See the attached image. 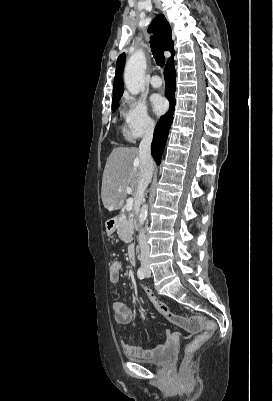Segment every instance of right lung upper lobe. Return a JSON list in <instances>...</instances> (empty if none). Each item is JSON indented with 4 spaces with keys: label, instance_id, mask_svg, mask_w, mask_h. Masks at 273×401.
Masks as SVG:
<instances>
[{
    "label": "right lung upper lobe",
    "instance_id": "right-lung-upper-lobe-1",
    "mask_svg": "<svg viewBox=\"0 0 273 401\" xmlns=\"http://www.w3.org/2000/svg\"><path fill=\"white\" fill-rule=\"evenodd\" d=\"M149 31H153L158 36L165 51H170L172 53V57L169 58V61L167 63L172 61L174 55V43L171 38V27L165 19L164 15L160 14L159 16H157V18L151 24ZM125 59V53H122L118 57L116 63L112 107L116 106V104L119 102L120 97L123 94L124 87L122 81V72L125 64Z\"/></svg>",
    "mask_w": 273,
    "mask_h": 401
}]
</instances>
